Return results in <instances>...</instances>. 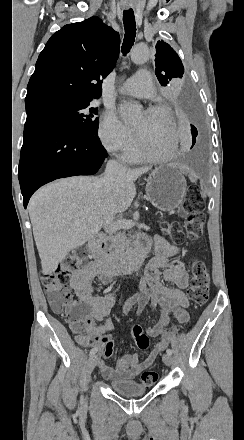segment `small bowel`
<instances>
[{"mask_svg":"<svg viewBox=\"0 0 244 440\" xmlns=\"http://www.w3.org/2000/svg\"><path fill=\"white\" fill-rule=\"evenodd\" d=\"M142 241L148 245L149 239L142 235ZM155 257L148 264L141 284V291L132 302L141 309L148 300L152 306L160 305L165 313H173L179 325H186L189 321L187 308L189 300L184 293L188 286V274L182 264L173 260L180 252V248L168 242L161 236L154 238ZM98 279L102 285L112 281V275L105 272L101 265L94 261L73 272L70 286L73 289L77 302L90 307L91 327H87V338H75L83 348L96 345L99 348L95 356V363L105 379L112 381H127L138 376L150 367L156 358L166 349L170 334L164 330L165 321L153 327H145L143 333L150 335V351L143 360L138 355H125L117 359L114 366L109 361L114 355V341L111 335L112 321L106 320L98 325L97 321L109 315L115 303L116 294L109 291L103 296H94V280ZM162 279L169 285L162 283ZM133 329V327L131 328ZM147 349V348H140Z\"/></svg>","mask_w":244,"mask_h":440,"instance_id":"1","label":"small bowel"}]
</instances>
